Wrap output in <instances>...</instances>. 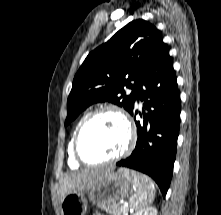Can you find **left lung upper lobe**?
Wrapping results in <instances>:
<instances>
[{
  "mask_svg": "<svg viewBox=\"0 0 221 215\" xmlns=\"http://www.w3.org/2000/svg\"><path fill=\"white\" fill-rule=\"evenodd\" d=\"M163 44L160 31L138 19L90 52L74 77L65 126L96 102L109 101L130 113L141 80Z\"/></svg>",
  "mask_w": 221,
  "mask_h": 215,
  "instance_id": "5c2ea615",
  "label": "left lung upper lobe"
}]
</instances>
